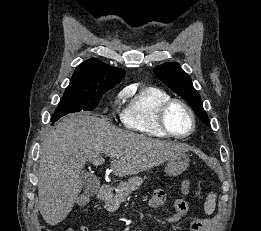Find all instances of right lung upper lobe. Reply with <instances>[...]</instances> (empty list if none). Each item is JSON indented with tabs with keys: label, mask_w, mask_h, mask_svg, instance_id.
I'll return each mask as SVG.
<instances>
[{
	"label": "right lung upper lobe",
	"mask_w": 261,
	"mask_h": 231,
	"mask_svg": "<svg viewBox=\"0 0 261 231\" xmlns=\"http://www.w3.org/2000/svg\"><path fill=\"white\" fill-rule=\"evenodd\" d=\"M124 75L123 69L111 67L95 58L89 59L76 68L65 92H106L120 83Z\"/></svg>",
	"instance_id": "right-lung-upper-lobe-1"
}]
</instances>
